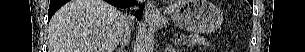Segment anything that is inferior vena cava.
<instances>
[{"mask_svg":"<svg viewBox=\"0 0 305 52\" xmlns=\"http://www.w3.org/2000/svg\"><path fill=\"white\" fill-rule=\"evenodd\" d=\"M139 3H142L143 0H138L136 1ZM135 9V7L133 8ZM127 18V22L128 25L126 26L124 33L122 34L119 42L123 45V44H127L130 41V37H131V33H130V28L132 27L133 23H134V16L133 15H126Z\"/></svg>","mask_w":305,"mask_h":52,"instance_id":"602c4592","label":"inferior vena cava"}]
</instances>
